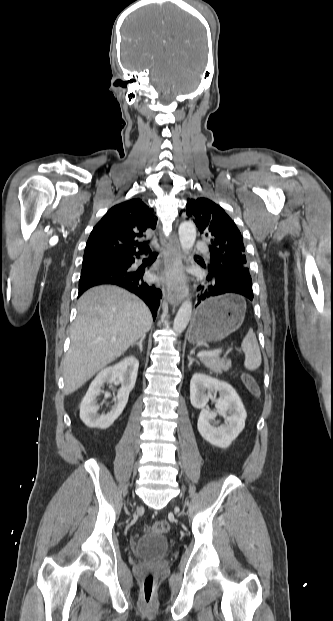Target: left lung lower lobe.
Masks as SVG:
<instances>
[{
  "label": "left lung lower lobe",
  "instance_id": "0a47b994",
  "mask_svg": "<svg viewBox=\"0 0 333 621\" xmlns=\"http://www.w3.org/2000/svg\"><path fill=\"white\" fill-rule=\"evenodd\" d=\"M207 270V276L201 281L197 288V303L213 296L225 293H237L253 300L252 279L246 271L229 270L222 264L213 265L209 269L208 265H202Z\"/></svg>",
  "mask_w": 333,
  "mask_h": 621
}]
</instances>
